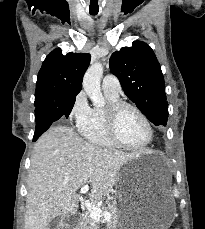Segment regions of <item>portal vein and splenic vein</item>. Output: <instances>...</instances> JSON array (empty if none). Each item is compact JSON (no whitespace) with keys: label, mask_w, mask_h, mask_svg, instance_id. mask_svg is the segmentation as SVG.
<instances>
[{"label":"portal vein and splenic vein","mask_w":205,"mask_h":229,"mask_svg":"<svg viewBox=\"0 0 205 229\" xmlns=\"http://www.w3.org/2000/svg\"><path fill=\"white\" fill-rule=\"evenodd\" d=\"M88 190H89V186L88 185H84V186L81 187L80 193L81 194H85V193L88 192ZM84 205L88 209V211L90 212V217L95 222H98L101 218H104V220H106V221H110L111 220V218H112L111 213L102 212L101 208L95 206V204H93L89 200H85Z\"/></svg>","instance_id":"portal-vein-and-splenic-vein-1"}]
</instances>
